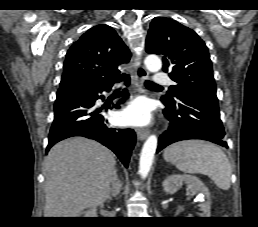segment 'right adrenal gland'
I'll return each mask as SVG.
<instances>
[{"mask_svg": "<svg viewBox=\"0 0 258 227\" xmlns=\"http://www.w3.org/2000/svg\"><path fill=\"white\" fill-rule=\"evenodd\" d=\"M121 189L122 182L118 178L117 169H115L113 180L111 182V196L109 197V200H112V198L117 197L120 194Z\"/></svg>", "mask_w": 258, "mask_h": 227, "instance_id": "right-adrenal-gland-1", "label": "right adrenal gland"}]
</instances>
